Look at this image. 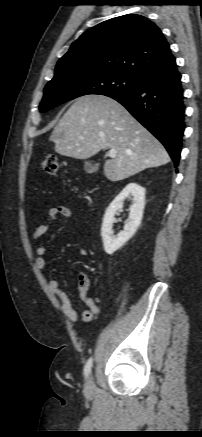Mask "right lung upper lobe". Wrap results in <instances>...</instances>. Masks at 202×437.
<instances>
[{
	"mask_svg": "<svg viewBox=\"0 0 202 437\" xmlns=\"http://www.w3.org/2000/svg\"><path fill=\"white\" fill-rule=\"evenodd\" d=\"M174 60L158 26L144 16L127 14L83 33L59 59L54 78L68 73H121L141 79Z\"/></svg>",
	"mask_w": 202,
	"mask_h": 437,
	"instance_id": "obj_1",
	"label": "right lung upper lobe"
}]
</instances>
